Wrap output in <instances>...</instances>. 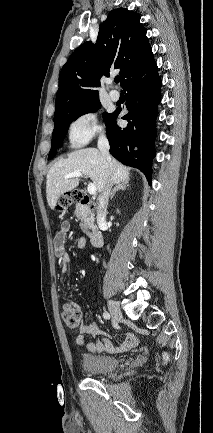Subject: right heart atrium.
<instances>
[{
    "mask_svg": "<svg viewBox=\"0 0 213 433\" xmlns=\"http://www.w3.org/2000/svg\"><path fill=\"white\" fill-rule=\"evenodd\" d=\"M103 134V128L92 112L78 116L69 126V138L74 145H83L95 135Z\"/></svg>",
    "mask_w": 213,
    "mask_h": 433,
    "instance_id": "1",
    "label": "right heart atrium"
}]
</instances>
